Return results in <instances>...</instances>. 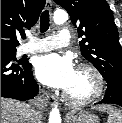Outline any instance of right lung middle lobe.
Wrapping results in <instances>:
<instances>
[{"instance_id": "right-lung-middle-lobe-1", "label": "right lung middle lobe", "mask_w": 122, "mask_h": 123, "mask_svg": "<svg viewBox=\"0 0 122 123\" xmlns=\"http://www.w3.org/2000/svg\"><path fill=\"white\" fill-rule=\"evenodd\" d=\"M1 52H4L5 54H7L8 56L15 58L16 55V49H1Z\"/></svg>"}]
</instances>
